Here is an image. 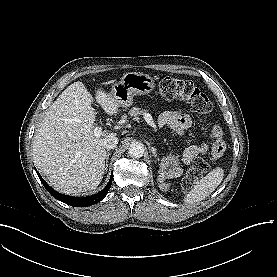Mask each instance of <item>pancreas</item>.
Returning <instances> with one entry per match:
<instances>
[{
    "instance_id": "obj_1",
    "label": "pancreas",
    "mask_w": 277,
    "mask_h": 277,
    "mask_svg": "<svg viewBox=\"0 0 277 277\" xmlns=\"http://www.w3.org/2000/svg\"><path fill=\"white\" fill-rule=\"evenodd\" d=\"M144 113H147V111L144 110V109H141V108H139V107H133V108H131L130 111H129L130 117H132V118L135 119V120H137L138 117H139L140 115H143Z\"/></svg>"
}]
</instances>
